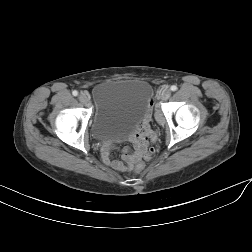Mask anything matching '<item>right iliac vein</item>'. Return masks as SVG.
Here are the masks:
<instances>
[{"mask_svg": "<svg viewBox=\"0 0 252 252\" xmlns=\"http://www.w3.org/2000/svg\"><path fill=\"white\" fill-rule=\"evenodd\" d=\"M79 101L81 102V103H83V104H85V105H88L89 104V96H88V94H86V93H81L80 95H79Z\"/></svg>", "mask_w": 252, "mask_h": 252, "instance_id": "63e3f726", "label": "right iliac vein"}]
</instances>
